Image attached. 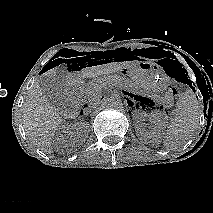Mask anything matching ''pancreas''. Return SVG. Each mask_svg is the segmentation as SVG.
Here are the masks:
<instances>
[{
    "label": "pancreas",
    "mask_w": 213,
    "mask_h": 213,
    "mask_svg": "<svg viewBox=\"0 0 213 213\" xmlns=\"http://www.w3.org/2000/svg\"><path fill=\"white\" fill-rule=\"evenodd\" d=\"M93 91H88L87 92V97L86 98H89L91 95H92Z\"/></svg>",
    "instance_id": "cf45deb5"
}]
</instances>
